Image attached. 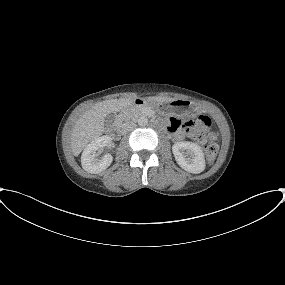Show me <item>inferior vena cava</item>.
Here are the masks:
<instances>
[{
    "instance_id": "obj_1",
    "label": "inferior vena cava",
    "mask_w": 285,
    "mask_h": 285,
    "mask_svg": "<svg viewBox=\"0 0 285 285\" xmlns=\"http://www.w3.org/2000/svg\"><path fill=\"white\" fill-rule=\"evenodd\" d=\"M136 128V123L135 122H126L122 125V129H121V132L122 134H126L132 130H134Z\"/></svg>"
}]
</instances>
